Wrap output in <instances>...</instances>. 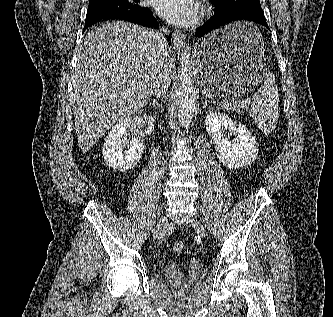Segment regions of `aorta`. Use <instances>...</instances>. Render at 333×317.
<instances>
[{"label":"aorta","instance_id":"1","mask_svg":"<svg viewBox=\"0 0 333 317\" xmlns=\"http://www.w3.org/2000/svg\"><path fill=\"white\" fill-rule=\"evenodd\" d=\"M180 103L178 119L181 126L187 127L193 118L197 94L193 85V72L190 65V48L184 45V51L180 57Z\"/></svg>","mask_w":333,"mask_h":317}]
</instances>
